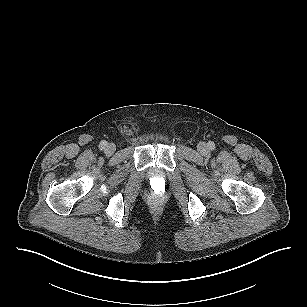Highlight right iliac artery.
Here are the masks:
<instances>
[{
    "instance_id": "82829eb1",
    "label": "right iliac artery",
    "mask_w": 307,
    "mask_h": 307,
    "mask_svg": "<svg viewBox=\"0 0 307 307\" xmlns=\"http://www.w3.org/2000/svg\"><path fill=\"white\" fill-rule=\"evenodd\" d=\"M106 145H107V142L103 140V141L100 142L99 147H100V149L102 150V149L105 148Z\"/></svg>"
}]
</instances>
